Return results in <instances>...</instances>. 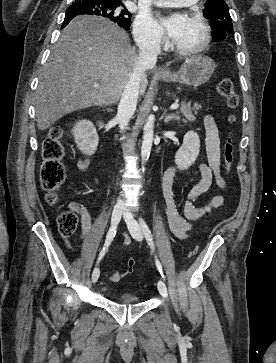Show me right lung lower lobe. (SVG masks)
Returning <instances> with one entry per match:
<instances>
[{"instance_id":"right-lung-lower-lobe-1","label":"right lung lower lobe","mask_w":276,"mask_h":363,"mask_svg":"<svg viewBox=\"0 0 276 363\" xmlns=\"http://www.w3.org/2000/svg\"><path fill=\"white\" fill-rule=\"evenodd\" d=\"M77 15H81V13L79 14H76V15H71V16H66L65 15V19H64V22H63V25H62V28L65 27L75 16Z\"/></svg>"}]
</instances>
